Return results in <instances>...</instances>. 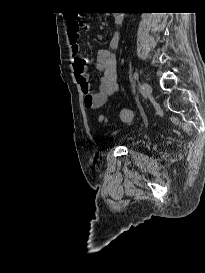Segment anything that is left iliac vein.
<instances>
[{
  "label": "left iliac vein",
  "mask_w": 205,
  "mask_h": 273,
  "mask_svg": "<svg viewBox=\"0 0 205 273\" xmlns=\"http://www.w3.org/2000/svg\"><path fill=\"white\" fill-rule=\"evenodd\" d=\"M142 90H143V94L145 96H149L151 94V92H152V87H151V85L149 83L143 82Z\"/></svg>",
  "instance_id": "4c4485c4"
}]
</instances>
